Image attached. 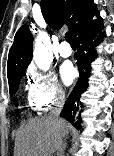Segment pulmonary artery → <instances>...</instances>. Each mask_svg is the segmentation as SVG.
<instances>
[{
    "label": "pulmonary artery",
    "mask_w": 114,
    "mask_h": 156,
    "mask_svg": "<svg viewBox=\"0 0 114 156\" xmlns=\"http://www.w3.org/2000/svg\"><path fill=\"white\" fill-rule=\"evenodd\" d=\"M58 52L62 57H69L72 55V49L67 42H62L58 48Z\"/></svg>",
    "instance_id": "1"
}]
</instances>
